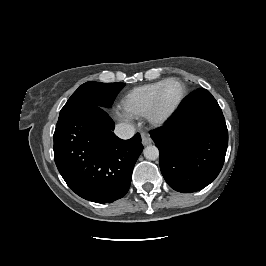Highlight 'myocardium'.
I'll return each mask as SVG.
<instances>
[{
	"mask_svg": "<svg viewBox=\"0 0 266 266\" xmlns=\"http://www.w3.org/2000/svg\"><path fill=\"white\" fill-rule=\"evenodd\" d=\"M171 82H176L181 86V94L174 107L169 112L162 115L159 112V100L164 88ZM186 95H187V89L184 82L181 79L176 77H171L166 79L155 93L151 105L147 111L146 118L149 121V123L152 124L153 126H162L166 124L168 121H170L171 118L176 114V112L181 107Z\"/></svg>",
	"mask_w": 266,
	"mask_h": 266,
	"instance_id": "myocardium-1",
	"label": "myocardium"
}]
</instances>
